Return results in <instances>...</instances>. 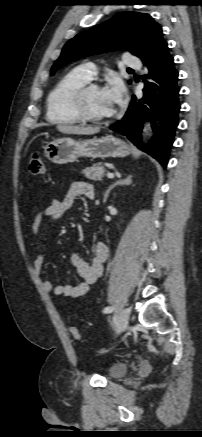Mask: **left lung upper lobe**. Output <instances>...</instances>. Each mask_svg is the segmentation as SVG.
Returning a JSON list of instances; mask_svg holds the SVG:
<instances>
[{
	"mask_svg": "<svg viewBox=\"0 0 202 437\" xmlns=\"http://www.w3.org/2000/svg\"><path fill=\"white\" fill-rule=\"evenodd\" d=\"M162 35L161 26L149 14L120 13L69 40L51 74L79 58L114 50H129L145 62L167 43Z\"/></svg>",
	"mask_w": 202,
	"mask_h": 437,
	"instance_id": "5c2ea615",
	"label": "left lung upper lobe"
}]
</instances>
